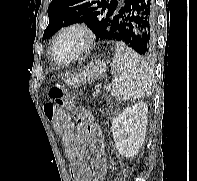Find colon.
<instances>
[{"label":"colon","mask_w":197,"mask_h":181,"mask_svg":"<svg viewBox=\"0 0 197 181\" xmlns=\"http://www.w3.org/2000/svg\"><path fill=\"white\" fill-rule=\"evenodd\" d=\"M49 97L50 101L46 102L43 107L44 114L57 131H64L69 120L67 109L71 107L70 99L59 83L49 89Z\"/></svg>","instance_id":"1"}]
</instances>
